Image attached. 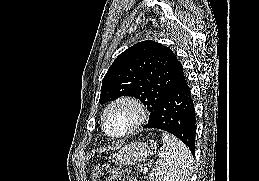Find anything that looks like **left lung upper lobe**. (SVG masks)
Segmentation results:
<instances>
[{
    "label": "left lung upper lobe",
    "mask_w": 259,
    "mask_h": 181,
    "mask_svg": "<svg viewBox=\"0 0 259 181\" xmlns=\"http://www.w3.org/2000/svg\"><path fill=\"white\" fill-rule=\"evenodd\" d=\"M182 73L183 67L171 49L151 40L139 42L122 52L109 67L99 102L134 96L147 106L150 122L161 99Z\"/></svg>",
    "instance_id": "obj_1"
}]
</instances>
